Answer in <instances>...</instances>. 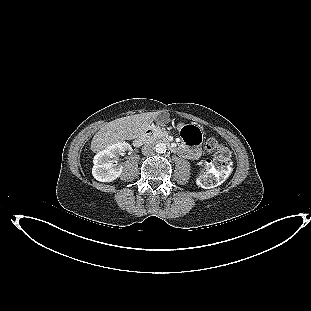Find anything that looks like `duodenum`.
Instances as JSON below:
<instances>
[{
	"label": "duodenum",
	"instance_id": "1",
	"mask_svg": "<svg viewBox=\"0 0 311 311\" xmlns=\"http://www.w3.org/2000/svg\"><path fill=\"white\" fill-rule=\"evenodd\" d=\"M152 139H161V140L164 139L166 140L167 143H169L167 136L163 132H161L156 127H149L144 131V133L141 136L134 139L133 144L136 147H139L143 145L144 143H146L147 141L152 140ZM171 150L174 151L175 148L171 147Z\"/></svg>",
	"mask_w": 311,
	"mask_h": 311
}]
</instances>
